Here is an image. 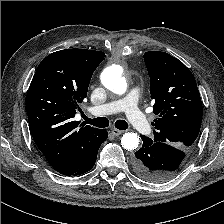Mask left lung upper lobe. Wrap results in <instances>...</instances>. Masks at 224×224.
Here are the masks:
<instances>
[{
  "label": "left lung upper lobe",
  "mask_w": 224,
  "mask_h": 224,
  "mask_svg": "<svg viewBox=\"0 0 224 224\" xmlns=\"http://www.w3.org/2000/svg\"><path fill=\"white\" fill-rule=\"evenodd\" d=\"M144 60L150 76L151 99L155 101L153 142H162L190 153L202 123V102L195 78L177 58L149 51ZM180 170L171 172L173 178Z\"/></svg>",
  "instance_id": "left-lung-upper-lobe-1"
}]
</instances>
